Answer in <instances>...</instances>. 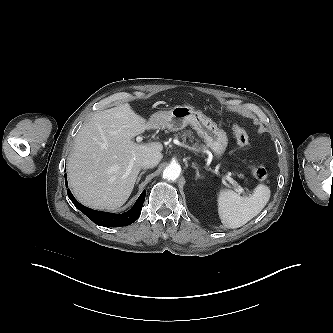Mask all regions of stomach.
Instances as JSON below:
<instances>
[{"label":"stomach","mask_w":333,"mask_h":333,"mask_svg":"<svg viewBox=\"0 0 333 333\" xmlns=\"http://www.w3.org/2000/svg\"><path fill=\"white\" fill-rule=\"evenodd\" d=\"M150 121L155 128H168L172 131L181 130L190 124L218 158L224 154L228 145L226 132L202 111L190 106H175L169 111L156 112Z\"/></svg>","instance_id":"0dacf381"}]
</instances>
